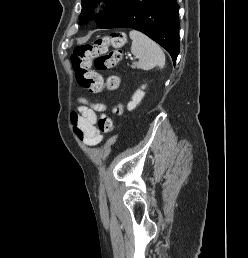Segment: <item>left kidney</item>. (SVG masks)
<instances>
[{"label":"left kidney","mask_w":248,"mask_h":258,"mask_svg":"<svg viewBox=\"0 0 248 258\" xmlns=\"http://www.w3.org/2000/svg\"><path fill=\"white\" fill-rule=\"evenodd\" d=\"M145 85L142 86V89H145ZM145 93L141 90V89H138L133 97H132V101H130L127 105V109L129 111L133 110L136 108V106L141 102V100L143 99Z\"/></svg>","instance_id":"left-kidney-1"}]
</instances>
